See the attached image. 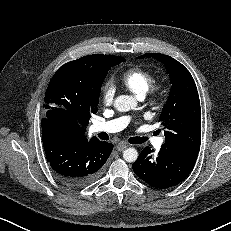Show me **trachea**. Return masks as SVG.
<instances>
[{"label": "trachea", "instance_id": "1", "mask_svg": "<svg viewBox=\"0 0 231 231\" xmlns=\"http://www.w3.org/2000/svg\"><path fill=\"white\" fill-rule=\"evenodd\" d=\"M148 138L146 137H132L129 139V142L131 144H142L144 143L145 141H147Z\"/></svg>", "mask_w": 231, "mask_h": 231}]
</instances>
